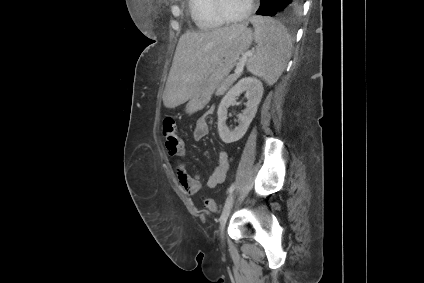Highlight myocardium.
<instances>
[{
  "label": "myocardium",
  "mask_w": 424,
  "mask_h": 283,
  "mask_svg": "<svg viewBox=\"0 0 424 283\" xmlns=\"http://www.w3.org/2000/svg\"><path fill=\"white\" fill-rule=\"evenodd\" d=\"M257 0H250L249 6L246 11L240 15L233 16L227 13L224 8L223 0H213V8L216 15L226 23H238L247 20L255 11Z\"/></svg>",
  "instance_id": "1"
}]
</instances>
